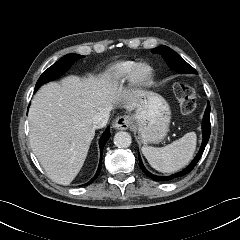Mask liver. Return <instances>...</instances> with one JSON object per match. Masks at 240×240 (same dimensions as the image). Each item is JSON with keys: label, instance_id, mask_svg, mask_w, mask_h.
Segmentation results:
<instances>
[{"label": "liver", "instance_id": "1", "mask_svg": "<svg viewBox=\"0 0 240 240\" xmlns=\"http://www.w3.org/2000/svg\"><path fill=\"white\" fill-rule=\"evenodd\" d=\"M143 95L125 90L108 73L97 78L68 76L44 85L32 101L28 120L32 150L48 177L69 185L95 136L92 118L103 109L111 111L118 101L133 110Z\"/></svg>", "mask_w": 240, "mask_h": 240}]
</instances>
